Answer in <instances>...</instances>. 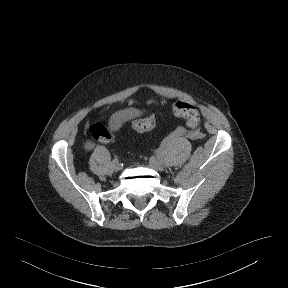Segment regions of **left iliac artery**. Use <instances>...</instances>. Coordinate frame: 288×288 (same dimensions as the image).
<instances>
[{
    "label": "left iliac artery",
    "instance_id": "left-iliac-artery-1",
    "mask_svg": "<svg viewBox=\"0 0 288 288\" xmlns=\"http://www.w3.org/2000/svg\"><path fill=\"white\" fill-rule=\"evenodd\" d=\"M156 157H157V158H160V157H161V153H160V152H157V153H156Z\"/></svg>",
    "mask_w": 288,
    "mask_h": 288
}]
</instances>
